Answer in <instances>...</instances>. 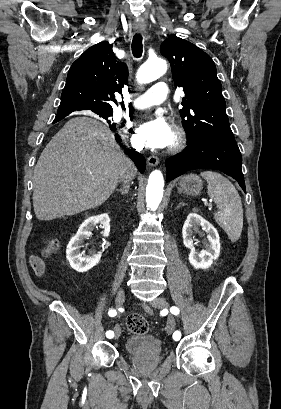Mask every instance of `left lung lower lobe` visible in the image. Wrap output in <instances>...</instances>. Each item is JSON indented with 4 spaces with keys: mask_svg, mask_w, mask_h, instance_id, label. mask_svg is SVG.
Segmentation results:
<instances>
[{
    "mask_svg": "<svg viewBox=\"0 0 281 409\" xmlns=\"http://www.w3.org/2000/svg\"><path fill=\"white\" fill-rule=\"evenodd\" d=\"M242 156L235 140L202 136L189 140V147L166 162L167 180L189 170L210 168L233 177L246 192L241 169Z\"/></svg>",
    "mask_w": 281,
    "mask_h": 409,
    "instance_id": "0a47b994",
    "label": "left lung lower lobe"
}]
</instances>
